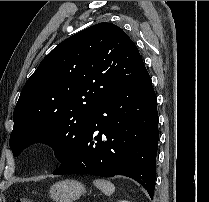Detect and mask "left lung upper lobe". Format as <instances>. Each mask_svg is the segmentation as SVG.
<instances>
[{
    "label": "left lung upper lobe",
    "instance_id": "1",
    "mask_svg": "<svg viewBox=\"0 0 209 202\" xmlns=\"http://www.w3.org/2000/svg\"><path fill=\"white\" fill-rule=\"evenodd\" d=\"M143 69L136 45L114 24L99 23L67 38L22 89L9 140L13 155L45 143L64 164L84 136L91 111Z\"/></svg>",
    "mask_w": 209,
    "mask_h": 202
}]
</instances>
